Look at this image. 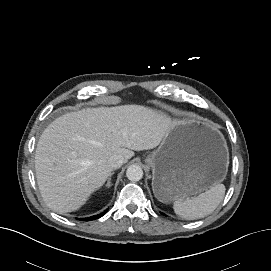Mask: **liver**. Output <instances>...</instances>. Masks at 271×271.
Segmentation results:
<instances>
[{
	"label": "liver",
	"instance_id": "6515ba94",
	"mask_svg": "<svg viewBox=\"0 0 271 271\" xmlns=\"http://www.w3.org/2000/svg\"><path fill=\"white\" fill-rule=\"evenodd\" d=\"M172 126L161 112L138 105L65 114L42 133L35 170L46 205L57 213L78 210L111 174L108 159L156 148Z\"/></svg>",
	"mask_w": 271,
	"mask_h": 271
}]
</instances>
